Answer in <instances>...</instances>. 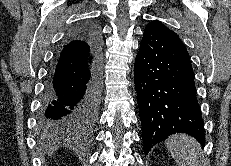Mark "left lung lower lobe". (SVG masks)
Instances as JSON below:
<instances>
[{
    "label": "left lung lower lobe",
    "instance_id": "left-lung-lower-lobe-1",
    "mask_svg": "<svg viewBox=\"0 0 231 166\" xmlns=\"http://www.w3.org/2000/svg\"><path fill=\"white\" fill-rule=\"evenodd\" d=\"M144 153L176 132L205 142L194 73L178 36L146 27L134 66Z\"/></svg>",
    "mask_w": 231,
    "mask_h": 166
}]
</instances>
